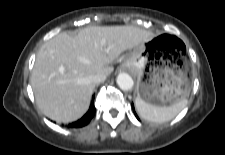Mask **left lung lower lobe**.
Returning a JSON list of instances; mask_svg holds the SVG:
<instances>
[{
  "label": "left lung lower lobe",
  "mask_w": 225,
  "mask_h": 155,
  "mask_svg": "<svg viewBox=\"0 0 225 155\" xmlns=\"http://www.w3.org/2000/svg\"><path fill=\"white\" fill-rule=\"evenodd\" d=\"M133 111H134V107H133ZM136 118L139 120L138 116L135 114Z\"/></svg>",
  "instance_id": "left-lung-lower-lobe-1"
}]
</instances>
